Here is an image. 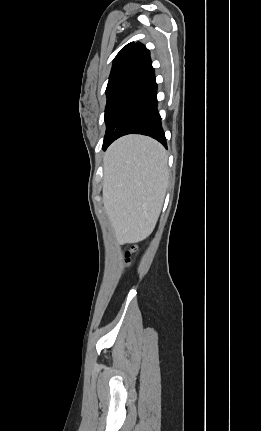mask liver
I'll return each instance as SVG.
<instances>
[{
	"label": "liver",
	"mask_w": 261,
	"mask_h": 431,
	"mask_svg": "<svg viewBox=\"0 0 261 431\" xmlns=\"http://www.w3.org/2000/svg\"><path fill=\"white\" fill-rule=\"evenodd\" d=\"M103 204L118 243H136L156 224L168 184L167 155L154 139L119 138L104 159Z\"/></svg>",
	"instance_id": "6515ba94"
}]
</instances>
